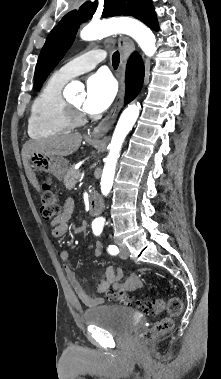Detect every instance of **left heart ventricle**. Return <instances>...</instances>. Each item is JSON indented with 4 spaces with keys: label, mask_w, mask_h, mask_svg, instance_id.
Wrapping results in <instances>:
<instances>
[{
    "label": "left heart ventricle",
    "mask_w": 221,
    "mask_h": 379,
    "mask_svg": "<svg viewBox=\"0 0 221 379\" xmlns=\"http://www.w3.org/2000/svg\"><path fill=\"white\" fill-rule=\"evenodd\" d=\"M82 101H83V100H82L81 98H78V99H74V100H72L71 102H72L73 104L77 105V106H81Z\"/></svg>",
    "instance_id": "1"
}]
</instances>
